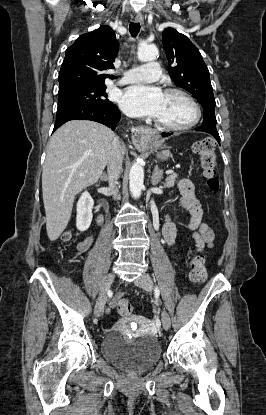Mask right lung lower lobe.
Instances as JSON below:
<instances>
[{
  "instance_id": "obj_1",
  "label": "right lung lower lobe",
  "mask_w": 266,
  "mask_h": 415,
  "mask_svg": "<svg viewBox=\"0 0 266 415\" xmlns=\"http://www.w3.org/2000/svg\"><path fill=\"white\" fill-rule=\"evenodd\" d=\"M120 115L116 106L106 108L88 105L58 106L53 132L70 120H92L111 127L114 130L116 123L120 120Z\"/></svg>"
}]
</instances>
